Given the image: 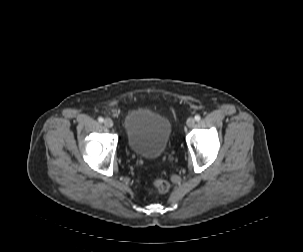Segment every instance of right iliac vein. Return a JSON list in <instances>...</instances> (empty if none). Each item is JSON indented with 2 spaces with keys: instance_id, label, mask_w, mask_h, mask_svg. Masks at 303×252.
<instances>
[{
  "instance_id": "1",
  "label": "right iliac vein",
  "mask_w": 303,
  "mask_h": 252,
  "mask_svg": "<svg viewBox=\"0 0 303 252\" xmlns=\"http://www.w3.org/2000/svg\"><path fill=\"white\" fill-rule=\"evenodd\" d=\"M104 125H105L107 128H112L113 125H114V123H113V121H112L110 118H106V119L104 120Z\"/></svg>"
}]
</instances>
